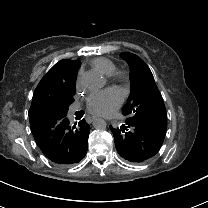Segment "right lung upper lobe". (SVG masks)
Returning <instances> with one entry per match:
<instances>
[{
	"label": "right lung upper lobe",
	"instance_id": "obj_1",
	"mask_svg": "<svg viewBox=\"0 0 208 208\" xmlns=\"http://www.w3.org/2000/svg\"><path fill=\"white\" fill-rule=\"evenodd\" d=\"M79 61L63 59L56 63L39 82L32 99L29 112L39 109L40 102L56 96L64 86L76 80Z\"/></svg>",
	"mask_w": 208,
	"mask_h": 208
}]
</instances>
